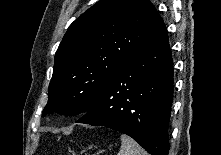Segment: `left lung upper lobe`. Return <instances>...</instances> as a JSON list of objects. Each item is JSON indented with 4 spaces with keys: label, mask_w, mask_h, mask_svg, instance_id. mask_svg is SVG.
<instances>
[{
    "label": "left lung upper lobe",
    "mask_w": 221,
    "mask_h": 155,
    "mask_svg": "<svg viewBox=\"0 0 221 155\" xmlns=\"http://www.w3.org/2000/svg\"><path fill=\"white\" fill-rule=\"evenodd\" d=\"M160 16L148 0H101L68 28L55 54L42 115L89 110Z\"/></svg>",
    "instance_id": "1"
}]
</instances>
